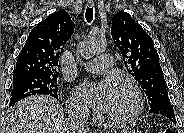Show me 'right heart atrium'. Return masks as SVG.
<instances>
[{
  "label": "right heart atrium",
  "mask_w": 184,
  "mask_h": 133,
  "mask_svg": "<svg viewBox=\"0 0 184 133\" xmlns=\"http://www.w3.org/2000/svg\"><path fill=\"white\" fill-rule=\"evenodd\" d=\"M68 110L73 114H86L87 108L85 105L75 97H71L68 101Z\"/></svg>",
  "instance_id": "d8ad5b80"
}]
</instances>
